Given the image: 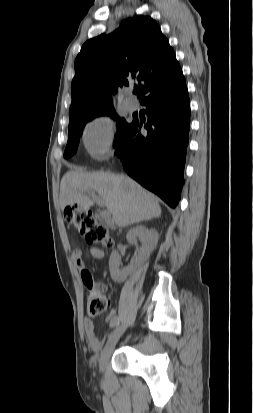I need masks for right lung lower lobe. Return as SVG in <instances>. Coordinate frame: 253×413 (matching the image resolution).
Here are the masks:
<instances>
[{
	"mask_svg": "<svg viewBox=\"0 0 253 413\" xmlns=\"http://www.w3.org/2000/svg\"><path fill=\"white\" fill-rule=\"evenodd\" d=\"M146 106L147 134L133 121L116 154L125 171L141 185L175 208L184 184L183 171L190 126V101L186 85L178 92L155 96Z\"/></svg>",
	"mask_w": 253,
	"mask_h": 413,
	"instance_id": "98d812e1",
	"label": "right lung lower lobe"
}]
</instances>
